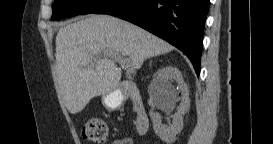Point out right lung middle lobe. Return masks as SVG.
I'll return each mask as SVG.
<instances>
[{"label": "right lung middle lobe", "mask_w": 273, "mask_h": 144, "mask_svg": "<svg viewBox=\"0 0 273 144\" xmlns=\"http://www.w3.org/2000/svg\"><path fill=\"white\" fill-rule=\"evenodd\" d=\"M109 0H55L52 9V20L72 17L78 14L94 13Z\"/></svg>", "instance_id": "right-lung-middle-lobe-1"}]
</instances>
